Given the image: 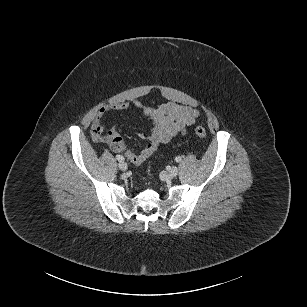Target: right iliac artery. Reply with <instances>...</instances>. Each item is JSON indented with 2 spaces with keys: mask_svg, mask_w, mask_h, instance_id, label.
<instances>
[{
  "mask_svg": "<svg viewBox=\"0 0 307 307\" xmlns=\"http://www.w3.org/2000/svg\"><path fill=\"white\" fill-rule=\"evenodd\" d=\"M116 159H117L118 161H124V157H123L122 155H117V156H116Z\"/></svg>",
  "mask_w": 307,
  "mask_h": 307,
  "instance_id": "1",
  "label": "right iliac artery"
}]
</instances>
